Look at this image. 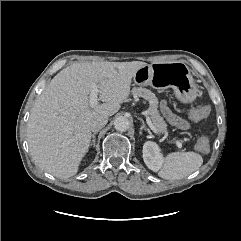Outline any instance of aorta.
<instances>
[{
	"label": "aorta",
	"mask_w": 241,
	"mask_h": 241,
	"mask_svg": "<svg viewBox=\"0 0 241 241\" xmlns=\"http://www.w3.org/2000/svg\"><path fill=\"white\" fill-rule=\"evenodd\" d=\"M129 127H130V122L124 116H119L114 121V128L117 131L124 132V131H127Z\"/></svg>",
	"instance_id": "obj_1"
}]
</instances>
